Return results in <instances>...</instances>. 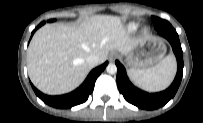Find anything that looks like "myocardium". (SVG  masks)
I'll return each instance as SVG.
<instances>
[{"instance_id":"f54148a6","label":"myocardium","mask_w":203,"mask_h":123,"mask_svg":"<svg viewBox=\"0 0 203 123\" xmlns=\"http://www.w3.org/2000/svg\"><path fill=\"white\" fill-rule=\"evenodd\" d=\"M148 31V28H144V32H147Z\"/></svg>"}]
</instances>
